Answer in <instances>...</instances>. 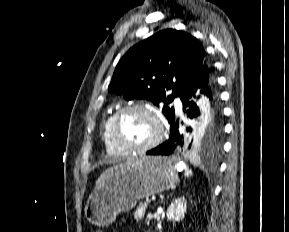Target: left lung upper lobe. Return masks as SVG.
I'll list each match as a JSON object with an SVG mask.
<instances>
[{
    "label": "left lung upper lobe",
    "mask_w": 289,
    "mask_h": 232,
    "mask_svg": "<svg viewBox=\"0 0 289 232\" xmlns=\"http://www.w3.org/2000/svg\"><path fill=\"white\" fill-rule=\"evenodd\" d=\"M206 52L190 34L166 29L139 42L117 64L109 92L126 100L147 99L159 106L170 123L174 108L168 104L181 95L205 61ZM172 94L166 96V91ZM223 124L211 119L185 135L188 151L218 152Z\"/></svg>",
    "instance_id": "5c2ea615"
}]
</instances>
